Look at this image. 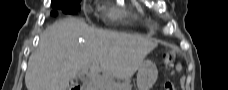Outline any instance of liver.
<instances>
[{
	"label": "liver",
	"mask_w": 228,
	"mask_h": 90,
	"mask_svg": "<svg viewBox=\"0 0 228 90\" xmlns=\"http://www.w3.org/2000/svg\"><path fill=\"white\" fill-rule=\"evenodd\" d=\"M156 46L145 36L100 30L83 20L64 18L41 34L29 57L25 84L27 90H67L69 81L86 67H95L107 80L128 81Z\"/></svg>",
	"instance_id": "6515ba94"
}]
</instances>
